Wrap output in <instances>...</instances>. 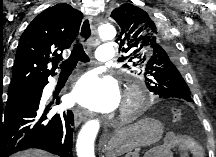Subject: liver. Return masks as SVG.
<instances>
[{"instance_id": "obj_1", "label": "liver", "mask_w": 216, "mask_h": 157, "mask_svg": "<svg viewBox=\"0 0 216 157\" xmlns=\"http://www.w3.org/2000/svg\"><path fill=\"white\" fill-rule=\"evenodd\" d=\"M12 157H52V154L38 149H28L16 154Z\"/></svg>"}]
</instances>
